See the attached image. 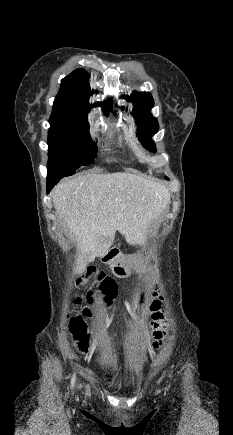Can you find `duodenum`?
Returning a JSON list of instances; mask_svg holds the SVG:
<instances>
[{"mask_svg":"<svg viewBox=\"0 0 233 435\" xmlns=\"http://www.w3.org/2000/svg\"><path fill=\"white\" fill-rule=\"evenodd\" d=\"M117 257L118 251L116 249H107L100 255L101 260L109 264L113 263Z\"/></svg>","mask_w":233,"mask_h":435,"instance_id":"obj_1","label":"duodenum"}]
</instances>
